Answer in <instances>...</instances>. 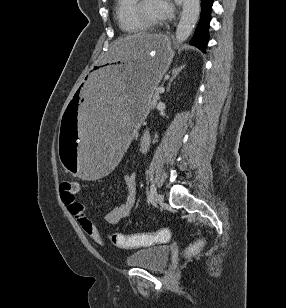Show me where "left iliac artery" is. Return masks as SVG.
<instances>
[{
    "label": "left iliac artery",
    "instance_id": "obj_1",
    "mask_svg": "<svg viewBox=\"0 0 286 308\" xmlns=\"http://www.w3.org/2000/svg\"><path fill=\"white\" fill-rule=\"evenodd\" d=\"M156 194V187L154 184H151L150 186V192H149V195H148V202L152 201V199L154 198Z\"/></svg>",
    "mask_w": 286,
    "mask_h": 308
}]
</instances>
